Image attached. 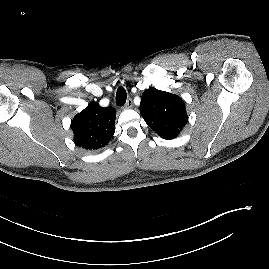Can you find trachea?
I'll list each match as a JSON object with an SVG mask.
<instances>
[{
	"label": "trachea",
	"instance_id": "1",
	"mask_svg": "<svg viewBox=\"0 0 269 269\" xmlns=\"http://www.w3.org/2000/svg\"><path fill=\"white\" fill-rule=\"evenodd\" d=\"M127 93L126 90L120 86L116 92V103L118 106H123L126 103Z\"/></svg>",
	"mask_w": 269,
	"mask_h": 269
}]
</instances>
